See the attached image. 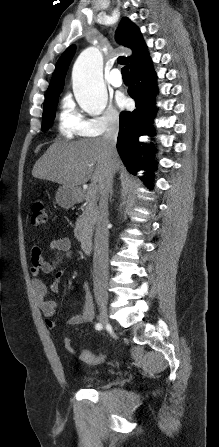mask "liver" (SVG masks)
<instances>
[{"label": "liver", "instance_id": "liver-1", "mask_svg": "<svg viewBox=\"0 0 219 447\" xmlns=\"http://www.w3.org/2000/svg\"><path fill=\"white\" fill-rule=\"evenodd\" d=\"M113 164L115 173L121 165L118 154ZM108 168L103 138L84 139L53 143L36 161L32 175L69 187L85 184L91 179L99 189Z\"/></svg>", "mask_w": 219, "mask_h": 447}]
</instances>
